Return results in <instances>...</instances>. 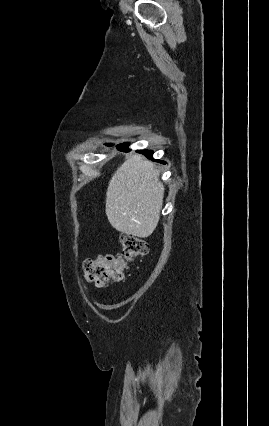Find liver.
Wrapping results in <instances>:
<instances>
[{
	"mask_svg": "<svg viewBox=\"0 0 269 426\" xmlns=\"http://www.w3.org/2000/svg\"><path fill=\"white\" fill-rule=\"evenodd\" d=\"M160 172L141 155L127 159L113 174L106 192L105 213L113 228L146 238L160 219L164 185Z\"/></svg>",
	"mask_w": 269,
	"mask_h": 426,
	"instance_id": "obj_1",
	"label": "liver"
}]
</instances>
